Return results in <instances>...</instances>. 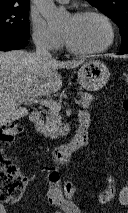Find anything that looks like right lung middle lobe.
Returning a JSON list of instances; mask_svg holds the SVG:
<instances>
[{
	"instance_id": "right-lung-middle-lobe-1",
	"label": "right lung middle lobe",
	"mask_w": 128,
	"mask_h": 213,
	"mask_svg": "<svg viewBox=\"0 0 128 213\" xmlns=\"http://www.w3.org/2000/svg\"><path fill=\"white\" fill-rule=\"evenodd\" d=\"M29 5L0 6V38L29 39Z\"/></svg>"
}]
</instances>
